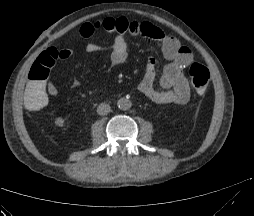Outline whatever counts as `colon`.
<instances>
[{
  "mask_svg": "<svg viewBox=\"0 0 254 216\" xmlns=\"http://www.w3.org/2000/svg\"><path fill=\"white\" fill-rule=\"evenodd\" d=\"M59 53V49H48L31 66L28 82L21 90L22 104L27 112L40 113L48 104V90L44 82L59 60ZM188 74L195 91L200 95L204 94L210 82L209 69L205 65L195 62L190 65Z\"/></svg>",
  "mask_w": 254,
  "mask_h": 216,
  "instance_id": "1",
  "label": "colon"
}]
</instances>
